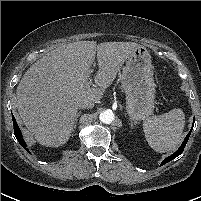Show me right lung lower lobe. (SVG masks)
I'll return each instance as SVG.
<instances>
[{"label": "right lung lower lobe", "mask_w": 201, "mask_h": 201, "mask_svg": "<svg viewBox=\"0 0 201 201\" xmlns=\"http://www.w3.org/2000/svg\"><path fill=\"white\" fill-rule=\"evenodd\" d=\"M12 120H13V126H14V134L16 139L18 140V142L20 143V145L27 151L30 153V151L28 150L26 143L24 141V139L22 138V133L17 125V122L14 118V116L12 115Z\"/></svg>", "instance_id": "98d812e1"}]
</instances>
